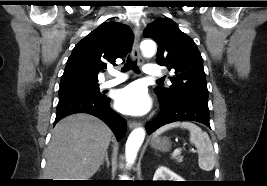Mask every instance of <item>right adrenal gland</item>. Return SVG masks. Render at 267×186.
I'll use <instances>...</instances> for the list:
<instances>
[{"instance_id": "2a0ac1e0", "label": "right adrenal gland", "mask_w": 267, "mask_h": 186, "mask_svg": "<svg viewBox=\"0 0 267 186\" xmlns=\"http://www.w3.org/2000/svg\"><path fill=\"white\" fill-rule=\"evenodd\" d=\"M105 162L107 163V167H109L110 166V161H109L107 152L105 153V157H104L103 161L101 162V165L103 166Z\"/></svg>"}]
</instances>
